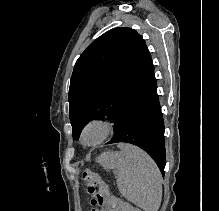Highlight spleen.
<instances>
[{
	"label": "spleen",
	"mask_w": 219,
	"mask_h": 211,
	"mask_svg": "<svg viewBox=\"0 0 219 211\" xmlns=\"http://www.w3.org/2000/svg\"><path fill=\"white\" fill-rule=\"evenodd\" d=\"M121 151H102L97 163L116 169L120 193L144 211H158L162 199L161 173L154 159L132 143H118Z\"/></svg>",
	"instance_id": "obj_1"
}]
</instances>
